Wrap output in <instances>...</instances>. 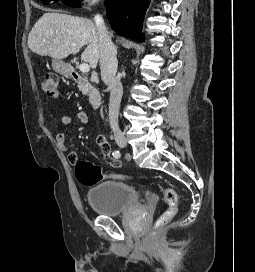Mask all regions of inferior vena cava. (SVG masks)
<instances>
[{
    "label": "inferior vena cava",
    "instance_id": "1",
    "mask_svg": "<svg viewBox=\"0 0 255 272\" xmlns=\"http://www.w3.org/2000/svg\"><path fill=\"white\" fill-rule=\"evenodd\" d=\"M95 25L99 36L101 78L110 89L109 122L114 133H119L118 116L123 95V87L117 72V49L111 41L108 29L100 14L94 16Z\"/></svg>",
    "mask_w": 255,
    "mask_h": 272
}]
</instances>
